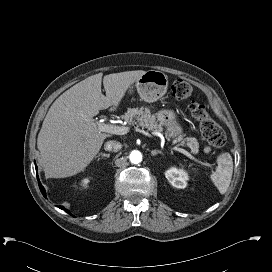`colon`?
Returning <instances> with one entry per match:
<instances>
[{
  "instance_id": "colon-1",
  "label": "colon",
  "mask_w": 272,
  "mask_h": 272,
  "mask_svg": "<svg viewBox=\"0 0 272 272\" xmlns=\"http://www.w3.org/2000/svg\"><path fill=\"white\" fill-rule=\"evenodd\" d=\"M172 94L179 100H189L192 116L198 121L203 139L214 148H221L225 144V135L222 129L209 118L206 107L201 102L192 99V85L182 79L176 80L172 87Z\"/></svg>"
}]
</instances>
